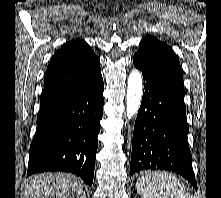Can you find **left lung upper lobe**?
<instances>
[{
	"instance_id": "left-lung-upper-lobe-1",
	"label": "left lung upper lobe",
	"mask_w": 221,
	"mask_h": 198,
	"mask_svg": "<svg viewBox=\"0 0 221 198\" xmlns=\"http://www.w3.org/2000/svg\"><path fill=\"white\" fill-rule=\"evenodd\" d=\"M157 76L185 95L179 60L172 49L153 36L144 37L134 55Z\"/></svg>"
}]
</instances>
